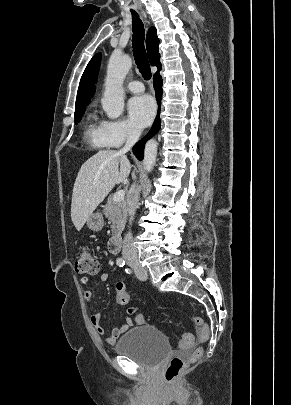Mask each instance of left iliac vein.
I'll list each match as a JSON object with an SVG mask.
<instances>
[{"label":"left iliac vein","mask_w":291,"mask_h":405,"mask_svg":"<svg viewBox=\"0 0 291 405\" xmlns=\"http://www.w3.org/2000/svg\"><path fill=\"white\" fill-rule=\"evenodd\" d=\"M134 271H135L136 277L138 279H140V280L147 279V271L140 265L134 266Z\"/></svg>","instance_id":"4c4485c4"}]
</instances>
